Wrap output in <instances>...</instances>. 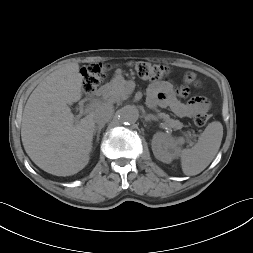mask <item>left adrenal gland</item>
Wrapping results in <instances>:
<instances>
[{"label": "left adrenal gland", "mask_w": 253, "mask_h": 253, "mask_svg": "<svg viewBox=\"0 0 253 253\" xmlns=\"http://www.w3.org/2000/svg\"><path fill=\"white\" fill-rule=\"evenodd\" d=\"M144 119H145L146 122L151 121V120H153V121H157V120H158V119H157L154 115H152V114L144 115Z\"/></svg>", "instance_id": "1"}]
</instances>
